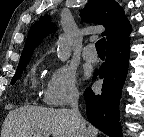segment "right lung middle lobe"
Wrapping results in <instances>:
<instances>
[{"mask_svg": "<svg viewBox=\"0 0 144 137\" xmlns=\"http://www.w3.org/2000/svg\"><path fill=\"white\" fill-rule=\"evenodd\" d=\"M28 62H25L23 64H20L16 70L15 75L12 78L11 84H14L16 82V80L19 78V76L21 75L23 69L26 67Z\"/></svg>", "mask_w": 144, "mask_h": 137, "instance_id": "dd1d6c3e", "label": "right lung middle lobe"}]
</instances>
